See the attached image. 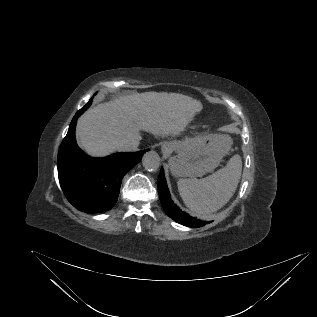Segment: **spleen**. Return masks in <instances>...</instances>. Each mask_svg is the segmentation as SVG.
Returning <instances> with one entry per match:
<instances>
[{
    "label": "spleen",
    "instance_id": "3e777b00",
    "mask_svg": "<svg viewBox=\"0 0 317 317\" xmlns=\"http://www.w3.org/2000/svg\"><path fill=\"white\" fill-rule=\"evenodd\" d=\"M242 161L234 155L227 165L203 179H179L180 196L197 214H210L223 207L235 193L241 178Z\"/></svg>",
    "mask_w": 317,
    "mask_h": 317
}]
</instances>
